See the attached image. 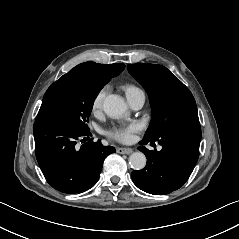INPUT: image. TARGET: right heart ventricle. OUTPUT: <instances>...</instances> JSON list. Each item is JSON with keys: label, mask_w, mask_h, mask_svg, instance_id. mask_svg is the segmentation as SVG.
<instances>
[{"label": "right heart ventricle", "mask_w": 239, "mask_h": 239, "mask_svg": "<svg viewBox=\"0 0 239 239\" xmlns=\"http://www.w3.org/2000/svg\"><path fill=\"white\" fill-rule=\"evenodd\" d=\"M135 88H137V87L132 86V85H128V86L126 87V90H127V91H130V90H133V89H135Z\"/></svg>", "instance_id": "right-heart-ventricle-1"}]
</instances>
